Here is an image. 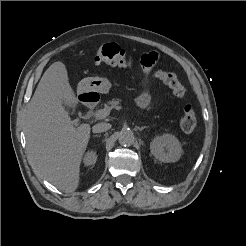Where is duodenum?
Returning <instances> with one entry per match:
<instances>
[{"label": "duodenum", "instance_id": "1", "mask_svg": "<svg viewBox=\"0 0 246 246\" xmlns=\"http://www.w3.org/2000/svg\"><path fill=\"white\" fill-rule=\"evenodd\" d=\"M89 97V99L88 100H86L88 103H87V106L89 107V108H92V106H93V101H94V96L93 95H89L88 96Z\"/></svg>", "mask_w": 246, "mask_h": 246}]
</instances>
